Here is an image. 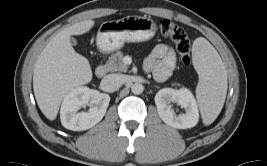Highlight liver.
<instances>
[{"label": "liver", "instance_id": "obj_1", "mask_svg": "<svg viewBox=\"0 0 267 166\" xmlns=\"http://www.w3.org/2000/svg\"><path fill=\"white\" fill-rule=\"evenodd\" d=\"M85 20L56 34L42 50L34 67L33 89L36 102L49 120L57 117L65 96L92 79L89 61L78 54L70 43L71 35H81L94 26Z\"/></svg>", "mask_w": 267, "mask_h": 166}]
</instances>
